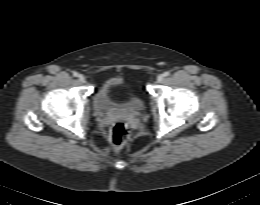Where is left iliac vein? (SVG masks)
Here are the masks:
<instances>
[{"instance_id":"4c4485c4","label":"left iliac vein","mask_w":260,"mask_h":205,"mask_svg":"<svg viewBox=\"0 0 260 205\" xmlns=\"http://www.w3.org/2000/svg\"><path fill=\"white\" fill-rule=\"evenodd\" d=\"M164 81V75L163 74H160L157 76V82L158 83H162Z\"/></svg>"}]
</instances>
